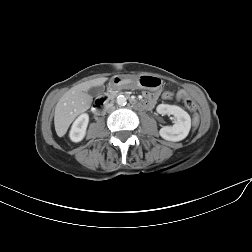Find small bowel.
<instances>
[{
    "mask_svg": "<svg viewBox=\"0 0 252 252\" xmlns=\"http://www.w3.org/2000/svg\"><path fill=\"white\" fill-rule=\"evenodd\" d=\"M178 94L182 95L183 97H186V93L184 91H180ZM157 97H158L157 93H146L147 101L145 102V108L146 109L153 108Z\"/></svg>",
    "mask_w": 252,
    "mask_h": 252,
    "instance_id": "c3829d8e",
    "label": "small bowel"
}]
</instances>
